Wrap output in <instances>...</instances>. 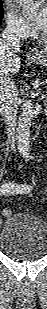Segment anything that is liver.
Returning a JSON list of instances; mask_svg holds the SVG:
<instances>
[{
	"label": "liver",
	"mask_w": 47,
	"mask_h": 309,
	"mask_svg": "<svg viewBox=\"0 0 47 309\" xmlns=\"http://www.w3.org/2000/svg\"><path fill=\"white\" fill-rule=\"evenodd\" d=\"M19 47L8 45L0 39V78L7 73L17 74L20 70Z\"/></svg>",
	"instance_id": "6515ba94"
}]
</instances>
